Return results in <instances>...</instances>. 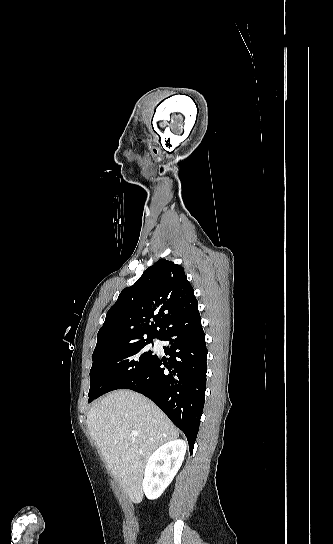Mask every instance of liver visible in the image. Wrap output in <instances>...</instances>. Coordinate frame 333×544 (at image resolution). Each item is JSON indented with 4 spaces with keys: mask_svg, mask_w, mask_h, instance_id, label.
Listing matches in <instances>:
<instances>
[{
    "mask_svg": "<svg viewBox=\"0 0 333 544\" xmlns=\"http://www.w3.org/2000/svg\"><path fill=\"white\" fill-rule=\"evenodd\" d=\"M87 424L114 479L132 502H140L147 460L160 445L177 439L178 430L155 404L130 390L114 391L98 401Z\"/></svg>",
    "mask_w": 333,
    "mask_h": 544,
    "instance_id": "6515ba94",
    "label": "liver"
}]
</instances>
